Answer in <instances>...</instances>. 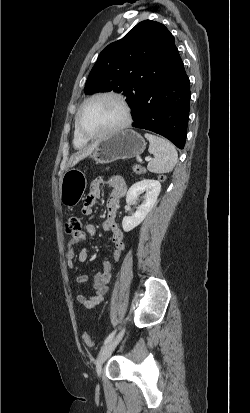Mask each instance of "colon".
<instances>
[{
  "mask_svg": "<svg viewBox=\"0 0 250 413\" xmlns=\"http://www.w3.org/2000/svg\"><path fill=\"white\" fill-rule=\"evenodd\" d=\"M133 170L135 173L137 174H143L146 172V169L141 166V165H134L133 166ZM156 181L158 183H165L167 181V176L165 174H163L162 172H157L156 173ZM75 229H82V223H81V219L78 216H71L68 218L66 224H65V231L68 235L73 236V231ZM82 339L84 341V343L87 346H94L95 345V341L91 338V336L87 333L84 332L82 335Z\"/></svg>",
  "mask_w": 250,
  "mask_h": 413,
  "instance_id": "obj_1",
  "label": "colon"
}]
</instances>
